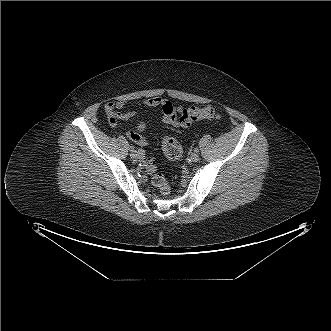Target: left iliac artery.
Listing matches in <instances>:
<instances>
[{"label":"left iliac artery","instance_id":"1","mask_svg":"<svg viewBox=\"0 0 331 331\" xmlns=\"http://www.w3.org/2000/svg\"><path fill=\"white\" fill-rule=\"evenodd\" d=\"M194 151L197 153V152H199V149L198 148H195Z\"/></svg>","mask_w":331,"mask_h":331}]
</instances>
